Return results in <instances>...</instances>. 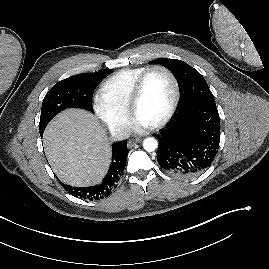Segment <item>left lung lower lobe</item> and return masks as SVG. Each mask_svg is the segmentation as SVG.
<instances>
[{
	"mask_svg": "<svg viewBox=\"0 0 269 269\" xmlns=\"http://www.w3.org/2000/svg\"><path fill=\"white\" fill-rule=\"evenodd\" d=\"M157 138V159L165 171L178 178L198 176L210 167L219 148L220 117L216 104L188 107Z\"/></svg>",
	"mask_w": 269,
	"mask_h": 269,
	"instance_id": "obj_1",
	"label": "left lung lower lobe"
}]
</instances>
